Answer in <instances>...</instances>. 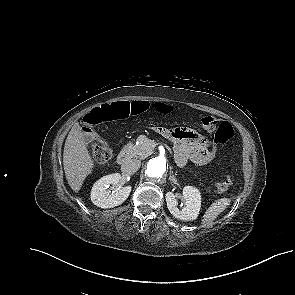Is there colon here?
Listing matches in <instances>:
<instances>
[{
    "label": "colon",
    "instance_id": "obj_1",
    "mask_svg": "<svg viewBox=\"0 0 295 295\" xmlns=\"http://www.w3.org/2000/svg\"><path fill=\"white\" fill-rule=\"evenodd\" d=\"M149 104L146 101H119L111 104H105L90 111L83 119L82 128L90 132L95 125L126 119L130 116L140 114L146 111ZM156 109L160 113H168L170 107L165 104H157ZM201 125L204 130L213 134L211 138L212 154H219V143L226 144L234 136V129L228 122H219L212 116H204L201 119ZM91 155L94 162L99 165H105L111 158V151L105 145L95 140L91 147ZM230 178H225L219 183L209 187V191L220 193L229 189Z\"/></svg>",
    "mask_w": 295,
    "mask_h": 295
}]
</instances>
